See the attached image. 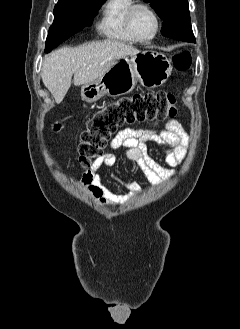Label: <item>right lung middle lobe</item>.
Wrapping results in <instances>:
<instances>
[{"mask_svg":"<svg viewBox=\"0 0 240 329\" xmlns=\"http://www.w3.org/2000/svg\"><path fill=\"white\" fill-rule=\"evenodd\" d=\"M106 0H78L57 3L54 22L46 39V52H50L76 32L89 26L101 4Z\"/></svg>","mask_w":240,"mask_h":329,"instance_id":"obj_1","label":"right lung middle lobe"}]
</instances>
